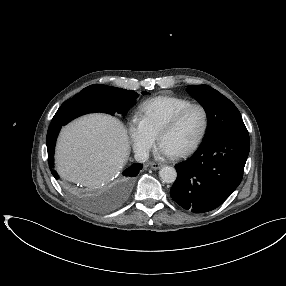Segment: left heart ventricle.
Segmentation results:
<instances>
[{
  "label": "left heart ventricle",
  "instance_id": "left-heart-ventricle-1",
  "mask_svg": "<svg viewBox=\"0 0 286 286\" xmlns=\"http://www.w3.org/2000/svg\"><path fill=\"white\" fill-rule=\"evenodd\" d=\"M203 125V112L199 108H193L183 116L174 128L164 134L160 145L172 154L184 150L197 140Z\"/></svg>",
  "mask_w": 286,
  "mask_h": 286
}]
</instances>
